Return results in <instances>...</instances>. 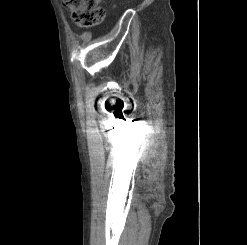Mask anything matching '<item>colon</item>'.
<instances>
[{"label": "colon", "instance_id": "1", "mask_svg": "<svg viewBox=\"0 0 247 245\" xmlns=\"http://www.w3.org/2000/svg\"><path fill=\"white\" fill-rule=\"evenodd\" d=\"M63 3L79 26H94L104 20L105 11L100 6V0H63Z\"/></svg>", "mask_w": 247, "mask_h": 245}]
</instances>
